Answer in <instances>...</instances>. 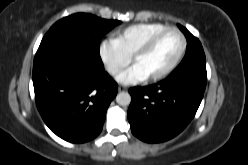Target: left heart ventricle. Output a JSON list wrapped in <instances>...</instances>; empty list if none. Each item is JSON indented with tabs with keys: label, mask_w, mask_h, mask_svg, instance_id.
Returning a JSON list of instances; mask_svg holds the SVG:
<instances>
[{
	"label": "left heart ventricle",
	"mask_w": 248,
	"mask_h": 165,
	"mask_svg": "<svg viewBox=\"0 0 248 165\" xmlns=\"http://www.w3.org/2000/svg\"><path fill=\"white\" fill-rule=\"evenodd\" d=\"M181 47V40L175 32H166L144 55L135 60L148 74L154 76L166 69L176 58Z\"/></svg>",
	"instance_id": "1"
}]
</instances>
